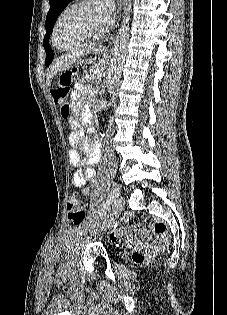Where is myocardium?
<instances>
[{"label": "myocardium", "instance_id": "obj_1", "mask_svg": "<svg viewBox=\"0 0 227 315\" xmlns=\"http://www.w3.org/2000/svg\"><path fill=\"white\" fill-rule=\"evenodd\" d=\"M91 3H97V0H76L75 2H73L72 4H70L69 6H67L58 16V18L56 19V22L54 24L53 27V31H52V35H51V42L52 45L55 49L59 50V51H70L76 48H80L83 47L91 42H94L96 40H98L99 38H101L103 36V34L106 32V30L109 27V22H106L105 25L103 26V28L94 36L90 37L89 39L72 45V46H67V47H59L56 43V34H57V30L59 27L60 22L62 21L63 17L73 8L81 6V5H86V4H91Z\"/></svg>", "mask_w": 227, "mask_h": 315}]
</instances>
